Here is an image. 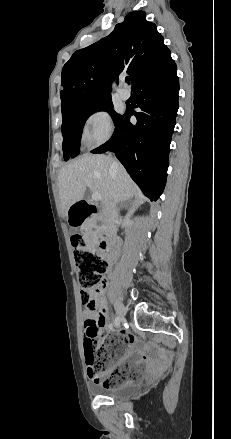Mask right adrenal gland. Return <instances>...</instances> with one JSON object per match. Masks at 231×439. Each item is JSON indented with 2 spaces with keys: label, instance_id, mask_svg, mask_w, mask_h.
<instances>
[{
  "label": "right adrenal gland",
  "instance_id": "obj_1",
  "mask_svg": "<svg viewBox=\"0 0 231 439\" xmlns=\"http://www.w3.org/2000/svg\"><path fill=\"white\" fill-rule=\"evenodd\" d=\"M126 203V201L121 202V206L125 205Z\"/></svg>",
  "mask_w": 231,
  "mask_h": 439
}]
</instances>
